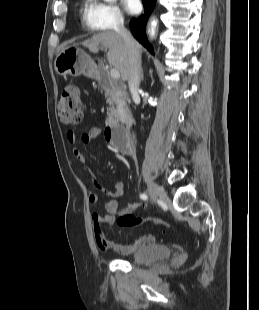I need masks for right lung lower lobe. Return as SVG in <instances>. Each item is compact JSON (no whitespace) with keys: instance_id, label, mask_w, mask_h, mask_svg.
<instances>
[{"instance_id":"1","label":"right lung lower lobe","mask_w":259,"mask_h":310,"mask_svg":"<svg viewBox=\"0 0 259 310\" xmlns=\"http://www.w3.org/2000/svg\"><path fill=\"white\" fill-rule=\"evenodd\" d=\"M144 8H145V14L140 16L138 19H132L130 22V28L132 30V33L134 37L145 47L149 52L154 54L152 45L148 43L146 33H145V27L147 20L151 14V12L154 9L156 0H142Z\"/></svg>"}]
</instances>
